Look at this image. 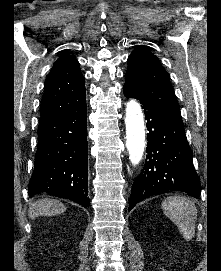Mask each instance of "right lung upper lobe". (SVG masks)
Instances as JSON below:
<instances>
[{
  "instance_id": "1",
  "label": "right lung upper lobe",
  "mask_w": 221,
  "mask_h": 271,
  "mask_svg": "<svg viewBox=\"0 0 221 271\" xmlns=\"http://www.w3.org/2000/svg\"><path fill=\"white\" fill-rule=\"evenodd\" d=\"M86 103L84 77L74 55L65 53L54 62L41 100L40 120L80 108Z\"/></svg>"
}]
</instances>
